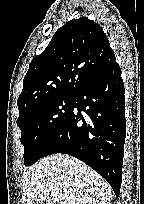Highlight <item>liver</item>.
I'll list each match as a JSON object with an SVG mask.
<instances>
[{
    "label": "liver",
    "mask_w": 144,
    "mask_h": 204,
    "mask_svg": "<svg viewBox=\"0 0 144 204\" xmlns=\"http://www.w3.org/2000/svg\"><path fill=\"white\" fill-rule=\"evenodd\" d=\"M23 204H111L112 188L91 167L65 154L41 159L22 175ZM55 191L57 195L51 196Z\"/></svg>",
    "instance_id": "liver-1"
}]
</instances>
